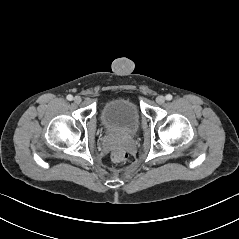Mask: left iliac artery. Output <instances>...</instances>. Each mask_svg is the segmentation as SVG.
Wrapping results in <instances>:
<instances>
[{"label": "left iliac artery", "mask_w": 239, "mask_h": 239, "mask_svg": "<svg viewBox=\"0 0 239 239\" xmlns=\"http://www.w3.org/2000/svg\"><path fill=\"white\" fill-rule=\"evenodd\" d=\"M166 100H168V101L172 100V95L171 94H167L166 95Z\"/></svg>", "instance_id": "44dca946"}]
</instances>
